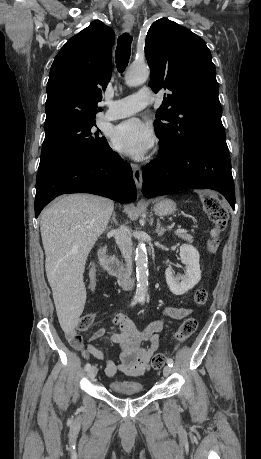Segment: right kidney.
<instances>
[{"label":"right kidney","instance_id":"obj_1","mask_svg":"<svg viewBox=\"0 0 261 459\" xmlns=\"http://www.w3.org/2000/svg\"><path fill=\"white\" fill-rule=\"evenodd\" d=\"M103 259H100V264L102 265Z\"/></svg>","mask_w":261,"mask_h":459}]
</instances>
